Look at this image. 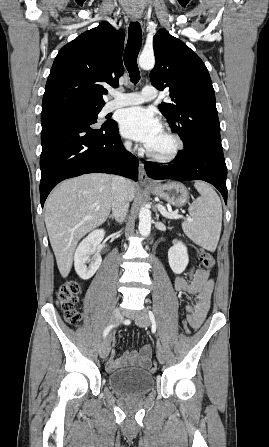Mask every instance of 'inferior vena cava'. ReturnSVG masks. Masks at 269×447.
Segmentation results:
<instances>
[{
	"label": "inferior vena cava",
	"mask_w": 269,
	"mask_h": 447,
	"mask_svg": "<svg viewBox=\"0 0 269 447\" xmlns=\"http://www.w3.org/2000/svg\"><path fill=\"white\" fill-rule=\"evenodd\" d=\"M126 150L130 152L132 142H125L124 144ZM112 212L116 222L122 224L124 222L128 210H129V200L127 194V182L125 178H121V176H114L112 180Z\"/></svg>",
	"instance_id": "1"
}]
</instances>
